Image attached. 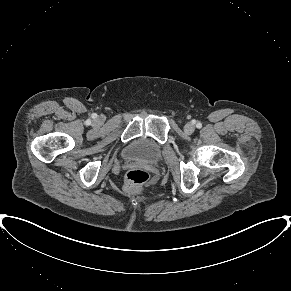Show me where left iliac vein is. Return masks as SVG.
Masks as SVG:
<instances>
[{"label":"left iliac vein","mask_w":291,"mask_h":291,"mask_svg":"<svg viewBox=\"0 0 291 291\" xmlns=\"http://www.w3.org/2000/svg\"><path fill=\"white\" fill-rule=\"evenodd\" d=\"M195 130V127L192 123H187L185 126H184V131L187 133V134H191L193 133Z\"/></svg>","instance_id":"1"}]
</instances>
